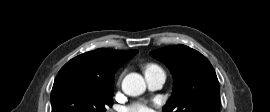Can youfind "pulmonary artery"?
I'll return each mask as SVG.
<instances>
[{"label":"pulmonary artery","instance_id":"pulmonary-artery-1","mask_svg":"<svg viewBox=\"0 0 270 112\" xmlns=\"http://www.w3.org/2000/svg\"><path fill=\"white\" fill-rule=\"evenodd\" d=\"M147 85L151 90L160 89L166 80V74L162 69L149 70L145 72Z\"/></svg>","mask_w":270,"mask_h":112}]
</instances>
